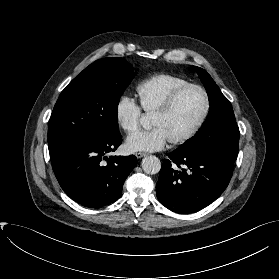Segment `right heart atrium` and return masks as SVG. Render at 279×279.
Segmentation results:
<instances>
[{"instance_id":"right-heart-atrium-1","label":"right heart atrium","mask_w":279,"mask_h":279,"mask_svg":"<svg viewBox=\"0 0 279 279\" xmlns=\"http://www.w3.org/2000/svg\"><path fill=\"white\" fill-rule=\"evenodd\" d=\"M141 116V107L132 98L122 95L117 100L115 120L125 133L131 134L139 128Z\"/></svg>"}]
</instances>
